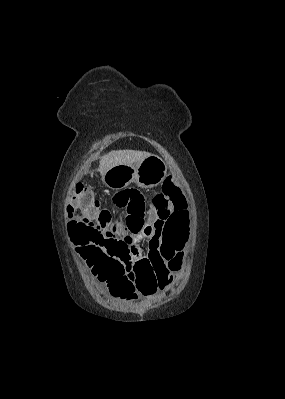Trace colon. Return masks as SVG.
Returning a JSON list of instances; mask_svg holds the SVG:
<instances>
[{
  "mask_svg": "<svg viewBox=\"0 0 285 399\" xmlns=\"http://www.w3.org/2000/svg\"><path fill=\"white\" fill-rule=\"evenodd\" d=\"M111 202L126 211L122 223L112 214L110 204L99 203L90 187L76 183L66 208L68 213L80 214L78 219L67 224L72 240L90 267L113 264L114 269L105 272L93 270L98 282L105 284L112 294L131 299L155 293L159 282L180 268V252L187 241L184 232L173 230L187 220L179 188L171 179H166L162 191L148 204L136 190L119 192ZM148 207L156 210L161 220L156 228L163 235L164 245L152 249L147 257H141L134 238L142 233ZM121 226L125 232L121 231ZM125 265L130 270V278L119 281V273Z\"/></svg>",
  "mask_w": 285,
  "mask_h": 399,
  "instance_id": "1",
  "label": "colon"
}]
</instances>
